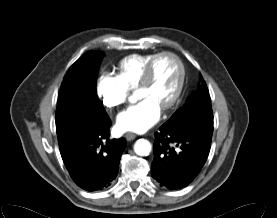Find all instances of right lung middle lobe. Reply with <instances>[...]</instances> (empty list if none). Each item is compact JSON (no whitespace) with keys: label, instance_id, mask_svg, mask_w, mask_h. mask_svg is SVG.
<instances>
[{"label":"right lung middle lobe","instance_id":"right-lung-middle-lobe-1","mask_svg":"<svg viewBox=\"0 0 277 218\" xmlns=\"http://www.w3.org/2000/svg\"><path fill=\"white\" fill-rule=\"evenodd\" d=\"M104 53L88 51L67 71L58 95L56 132L60 151L93 132L108 115L97 97L96 78Z\"/></svg>","mask_w":277,"mask_h":218}]
</instances>
